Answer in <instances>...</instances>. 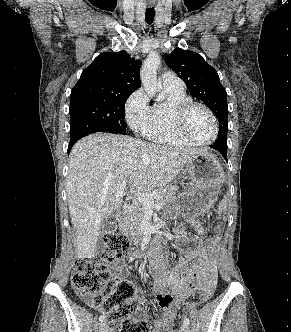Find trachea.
<instances>
[{"instance_id": "trachea-1", "label": "trachea", "mask_w": 291, "mask_h": 332, "mask_svg": "<svg viewBox=\"0 0 291 332\" xmlns=\"http://www.w3.org/2000/svg\"><path fill=\"white\" fill-rule=\"evenodd\" d=\"M154 16H155L154 8L153 7L147 8L145 13V20L149 25L153 23Z\"/></svg>"}]
</instances>
